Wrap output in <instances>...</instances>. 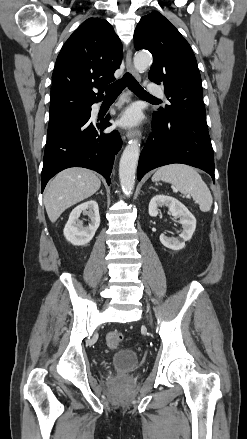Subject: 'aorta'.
Wrapping results in <instances>:
<instances>
[{
  "label": "aorta",
  "mask_w": 247,
  "mask_h": 439,
  "mask_svg": "<svg viewBox=\"0 0 247 439\" xmlns=\"http://www.w3.org/2000/svg\"><path fill=\"white\" fill-rule=\"evenodd\" d=\"M134 67L139 73L147 70L152 63V56L148 53H137L133 59ZM140 155V143L132 140L125 147L119 163V179L122 191L130 196L135 186V174Z\"/></svg>",
  "instance_id": "aorta-1"
}]
</instances>
